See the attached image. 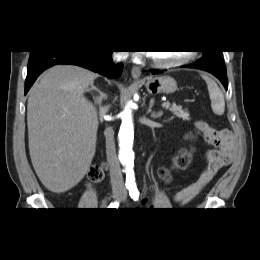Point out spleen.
Segmentation results:
<instances>
[{
	"instance_id": "spleen-1",
	"label": "spleen",
	"mask_w": 260,
	"mask_h": 260,
	"mask_svg": "<svg viewBox=\"0 0 260 260\" xmlns=\"http://www.w3.org/2000/svg\"><path fill=\"white\" fill-rule=\"evenodd\" d=\"M202 78L205 80L209 97L211 100V108L216 115H223L225 111V100L222 91L208 75L202 74Z\"/></svg>"
}]
</instances>
